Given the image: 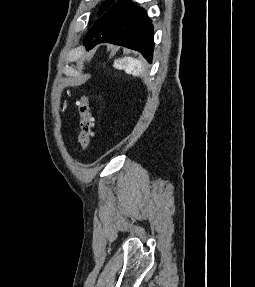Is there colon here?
Returning <instances> with one entry per match:
<instances>
[{
  "instance_id": "5ec220e1",
  "label": "colon",
  "mask_w": 255,
  "mask_h": 287,
  "mask_svg": "<svg viewBox=\"0 0 255 287\" xmlns=\"http://www.w3.org/2000/svg\"><path fill=\"white\" fill-rule=\"evenodd\" d=\"M80 115L79 143L82 151H88L93 136V116L90 110L89 100L86 96L80 98L78 102Z\"/></svg>"
}]
</instances>
